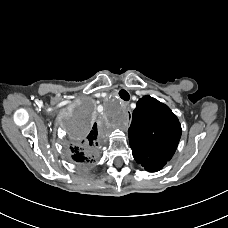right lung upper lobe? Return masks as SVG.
Here are the masks:
<instances>
[{
	"mask_svg": "<svg viewBox=\"0 0 228 228\" xmlns=\"http://www.w3.org/2000/svg\"><path fill=\"white\" fill-rule=\"evenodd\" d=\"M97 139V129L90 132L86 140L79 141L74 145L70 146V150L73 153L72 158L77 162L89 163L93 161V156L90 154V150L98 145Z\"/></svg>",
	"mask_w": 228,
	"mask_h": 228,
	"instance_id": "1",
	"label": "right lung upper lobe"
}]
</instances>
